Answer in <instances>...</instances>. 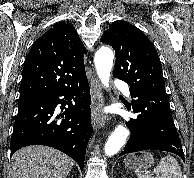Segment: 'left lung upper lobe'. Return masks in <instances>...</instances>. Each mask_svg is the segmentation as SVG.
<instances>
[{"instance_id":"5c2ea615","label":"left lung upper lobe","mask_w":194,"mask_h":178,"mask_svg":"<svg viewBox=\"0 0 194 178\" xmlns=\"http://www.w3.org/2000/svg\"><path fill=\"white\" fill-rule=\"evenodd\" d=\"M101 42L115 50L114 77L130 88L166 93L159 56L141 30L128 22L115 21L103 33Z\"/></svg>"}]
</instances>
